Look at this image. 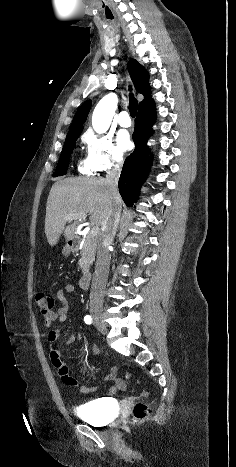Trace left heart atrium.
I'll use <instances>...</instances> for the list:
<instances>
[{"label":"left heart atrium","mask_w":236,"mask_h":467,"mask_svg":"<svg viewBox=\"0 0 236 467\" xmlns=\"http://www.w3.org/2000/svg\"><path fill=\"white\" fill-rule=\"evenodd\" d=\"M117 142L119 149L124 152L130 149L132 142L130 140L129 133L127 131L121 130L117 134Z\"/></svg>","instance_id":"39dd6f15"}]
</instances>
